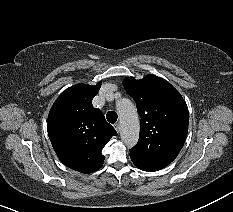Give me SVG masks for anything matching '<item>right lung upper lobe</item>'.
<instances>
[{
  "instance_id": "right-lung-upper-lobe-1",
  "label": "right lung upper lobe",
  "mask_w": 233,
  "mask_h": 212,
  "mask_svg": "<svg viewBox=\"0 0 233 212\" xmlns=\"http://www.w3.org/2000/svg\"><path fill=\"white\" fill-rule=\"evenodd\" d=\"M100 87L101 82L69 87L56 99L47 120L48 135L61 162L85 174L102 167L101 151L117 135L101 110L92 106Z\"/></svg>"
}]
</instances>
